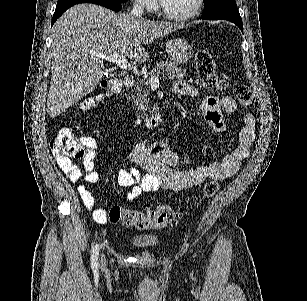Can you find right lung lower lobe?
<instances>
[{
	"instance_id": "obj_1",
	"label": "right lung lower lobe",
	"mask_w": 307,
	"mask_h": 301,
	"mask_svg": "<svg viewBox=\"0 0 307 301\" xmlns=\"http://www.w3.org/2000/svg\"><path fill=\"white\" fill-rule=\"evenodd\" d=\"M79 3H93L98 4L101 6H104L106 8H109L113 11H120L122 8V2L119 0H74L71 2L63 3L56 6L53 18H52V25L55 23V21L71 6Z\"/></svg>"
}]
</instances>
